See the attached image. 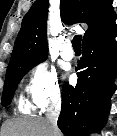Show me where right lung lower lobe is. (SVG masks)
<instances>
[{"label": "right lung lower lobe", "mask_w": 117, "mask_h": 136, "mask_svg": "<svg viewBox=\"0 0 117 136\" xmlns=\"http://www.w3.org/2000/svg\"><path fill=\"white\" fill-rule=\"evenodd\" d=\"M116 24L87 38L82 44L75 87L62 89L58 127L65 136H88L100 131L110 110V97L116 90Z\"/></svg>", "instance_id": "1"}]
</instances>
